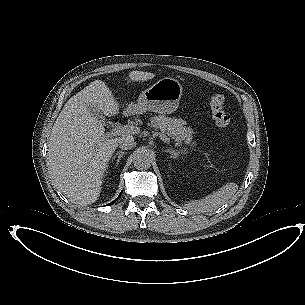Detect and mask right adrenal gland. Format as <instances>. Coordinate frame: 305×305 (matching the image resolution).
I'll return each instance as SVG.
<instances>
[{
    "label": "right adrenal gland",
    "mask_w": 305,
    "mask_h": 305,
    "mask_svg": "<svg viewBox=\"0 0 305 305\" xmlns=\"http://www.w3.org/2000/svg\"><path fill=\"white\" fill-rule=\"evenodd\" d=\"M126 154V152L124 151H118L117 153H115V155L112 157V160L115 159L116 157H118L117 159V164L119 163L120 159Z\"/></svg>",
    "instance_id": "2a0ac1e0"
}]
</instances>
